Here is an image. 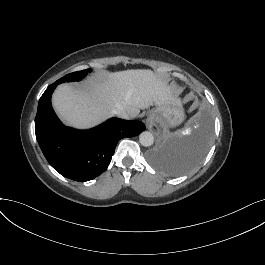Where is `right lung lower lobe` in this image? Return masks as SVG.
<instances>
[{
    "label": "right lung lower lobe",
    "instance_id": "98d812e1",
    "mask_svg": "<svg viewBox=\"0 0 265 265\" xmlns=\"http://www.w3.org/2000/svg\"><path fill=\"white\" fill-rule=\"evenodd\" d=\"M59 83L50 85L39 100L35 134L49 164L69 179L89 181L109 166L116 144L145 130L140 121L112 118L100 126L80 131L64 126L57 118L51 95Z\"/></svg>",
    "mask_w": 265,
    "mask_h": 265
}]
</instances>
